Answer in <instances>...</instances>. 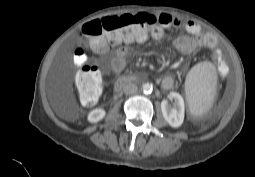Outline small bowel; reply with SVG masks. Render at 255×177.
I'll return each mask as SVG.
<instances>
[{
    "mask_svg": "<svg viewBox=\"0 0 255 177\" xmlns=\"http://www.w3.org/2000/svg\"><path fill=\"white\" fill-rule=\"evenodd\" d=\"M162 16L167 21L166 27L173 26L175 28L186 31L191 35L182 36L175 39L173 45L176 50L188 54L195 52L203 47L214 48L216 46L217 39L212 34L203 33L201 26L197 22L173 17L169 14H162ZM146 39L147 35H145L142 39L137 40V42H144ZM128 54L129 48L127 45H121L115 49L114 56L110 62L111 70L114 73H119L125 68ZM218 70L220 72L222 71V65L218 66ZM173 86L174 81L170 76H166L162 79L161 87L164 90H170L173 88Z\"/></svg>",
    "mask_w": 255,
    "mask_h": 177,
    "instance_id": "obj_1",
    "label": "small bowel"
}]
</instances>
